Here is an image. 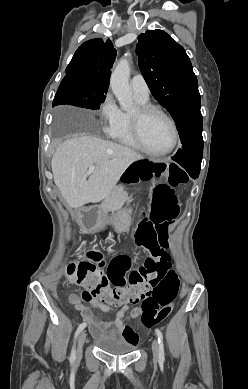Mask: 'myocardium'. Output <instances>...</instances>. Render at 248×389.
<instances>
[{"label":"myocardium","mask_w":248,"mask_h":389,"mask_svg":"<svg viewBox=\"0 0 248 389\" xmlns=\"http://www.w3.org/2000/svg\"><path fill=\"white\" fill-rule=\"evenodd\" d=\"M157 113L163 116L171 125L173 140L169 148L163 151H153L144 142L142 136V125L146 117L150 114ZM131 128L132 134L140 146L147 154L152 156H165L171 153L177 146L179 140V132L175 120L163 109L152 104H140L134 112L131 113Z\"/></svg>","instance_id":"obj_1"}]
</instances>
